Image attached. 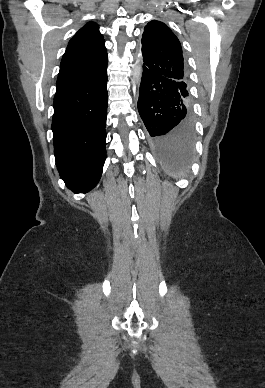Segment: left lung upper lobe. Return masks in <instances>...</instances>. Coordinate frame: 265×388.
<instances>
[{"instance_id":"obj_1","label":"left lung upper lobe","mask_w":265,"mask_h":388,"mask_svg":"<svg viewBox=\"0 0 265 388\" xmlns=\"http://www.w3.org/2000/svg\"><path fill=\"white\" fill-rule=\"evenodd\" d=\"M144 68L179 82L183 86L184 101L190 104L187 73L178 38L163 22L152 20L142 35Z\"/></svg>"}]
</instances>
